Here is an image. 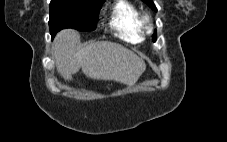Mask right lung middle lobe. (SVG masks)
I'll use <instances>...</instances> for the list:
<instances>
[{
	"label": "right lung middle lobe",
	"instance_id": "1",
	"mask_svg": "<svg viewBox=\"0 0 227 142\" xmlns=\"http://www.w3.org/2000/svg\"><path fill=\"white\" fill-rule=\"evenodd\" d=\"M103 3L92 0H51L49 27L52 37L64 28L95 30Z\"/></svg>",
	"mask_w": 227,
	"mask_h": 142
}]
</instances>
